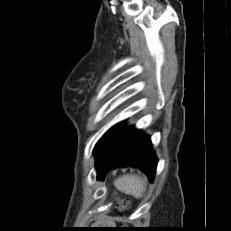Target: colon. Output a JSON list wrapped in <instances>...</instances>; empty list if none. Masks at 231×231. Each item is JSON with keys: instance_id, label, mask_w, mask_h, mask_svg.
<instances>
[{"instance_id": "5ec220e1", "label": "colon", "mask_w": 231, "mask_h": 231, "mask_svg": "<svg viewBox=\"0 0 231 231\" xmlns=\"http://www.w3.org/2000/svg\"><path fill=\"white\" fill-rule=\"evenodd\" d=\"M119 207L122 210H126L129 208V202L125 201V200H121V201H119Z\"/></svg>"}]
</instances>
